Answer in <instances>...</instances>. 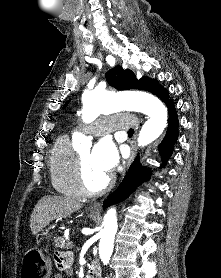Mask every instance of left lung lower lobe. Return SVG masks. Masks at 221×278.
Listing matches in <instances>:
<instances>
[{
	"label": "left lung lower lobe",
	"mask_w": 221,
	"mask_h": 278,
	"mask_svg": "<svg viewBox=\"0 0 221 278\" xmlns=\"http://www.w3.org/2000/svg\"><path fill=\"white\" fill-rule=\"evenodd\" d=\"M167 106L169 111V125L167 133L163 141L159 145V150L163 160L168 159L171 156L173 146L178 138V119L175 106L172 101H170ZM149 177L150 170L146 167L141 166L138 156L131 164L125 178L123 179L117 190L106 199L104 207L106 208L125 199L143 181L148 180Z\"/></svg>",
	"instance_id": "1"
}]
</instances>
